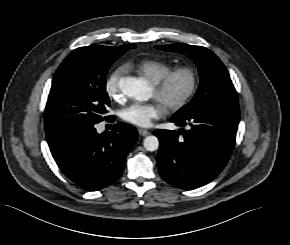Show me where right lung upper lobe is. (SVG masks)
<instances>
[{
    "mask_svg": "<svg viewBox=\"0 0 290 245\" xmlns=\"http://www.w3.org/2000/svg\"><path fill=\"white\" fill-rule=\"evenodd\" d=\"M128 45H133V44H128ZM99 46H101V45H99ZM105 47H109V46H105ZM52 128H56V127H53V126H46V125H45V130H46V131H49V130L52 129Z\"/></svg>",
    "mask_w": 290,
    "mask_h": 245,
    "instance_id": "cb5924a9",
    "label": "right lung upper lobe"
}]
</instances>
